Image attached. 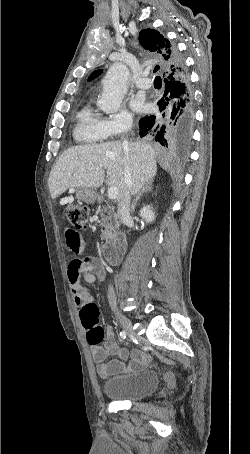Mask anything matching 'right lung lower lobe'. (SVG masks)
Wrapping results in <instances>:
<instances>
[{
	"label": "right lung lower lobe",
	"mask_w": 250,
	"mask_h": 454,
	"mask_svg": "<svg viewBox=\"0 0 250 454\" xmlns=\"http://www.w3.org/2000/svg\"><path fill=\"white\" fill-rule=\"evenodd\" d=\"M171 73L163 75L165 92L157 102L159 110L139 121V134L170 149L187 146L194 123L190 79L182 56L170 43Z\"/></svg>",
	"instance_id": "98d812e1"
}]
</instances>
